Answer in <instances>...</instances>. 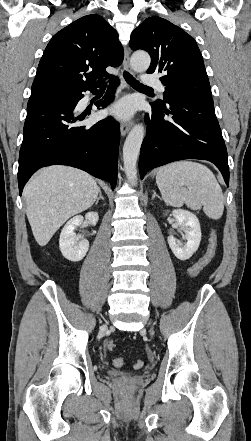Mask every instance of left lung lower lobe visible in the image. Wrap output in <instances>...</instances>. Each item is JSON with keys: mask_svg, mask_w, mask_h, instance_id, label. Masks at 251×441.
<instances>
[{"mask_svg": "<svg viewBox=\"0 0 251 441\" xmlns=\"http://www.w3.org/2000/svg\"><path fill=\"white\" fill-rule=\"evenodd\" d=\"M167 104L151 103L152 114L145 116L147 133L139 158L141 179L155 167L182 159H201L214 163L228 186V155L212 96L196 94Z\"/></svg>", "mask_w": 251, "mask_h": 441, "instance_id": "1", "label": "left lung lower lobe"}]
</instances>
